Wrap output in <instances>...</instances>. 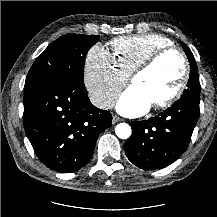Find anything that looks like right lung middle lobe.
Returning <instances> with one entry per match:
<instances>
[{
  "mask_svg": "<svg viewBox=\"0 0 217 217\" xmlns=\"http://www.w3.org/2000/svg\"><path fill=\"white\" fill-rule=\"evenodd\" d=\"M99 36L67 34L49 45L37 57L26 77L25 86L50 78H62L78 87H85L83 63L88 50Z\"/></svg>",
  "mask_w": 217,
  "mask_h": 217,
  "instance_id": "right-lung-middle-lobe-1",
  "label": "right lung middle lobe"
}]
</instances>
